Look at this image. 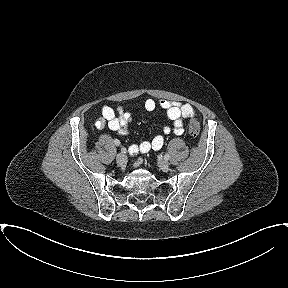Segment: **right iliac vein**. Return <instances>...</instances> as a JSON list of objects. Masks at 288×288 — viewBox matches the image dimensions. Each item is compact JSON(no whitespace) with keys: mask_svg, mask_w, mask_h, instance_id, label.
Here are the masks:
<instances>
[{"mask_svg":"<svg viewBox=\"0 0 288 288\" xmlns=\"http://www.w3.org/2000/svg\"><path fill=\"white\" fill-rule=\"evenodd\" d=\"M127 156L122 154V153H119L117 154L116 156V162L119 166H124L127 164Z\"/></svg>","mask_w":288,"mask_h":288,"instance_id":"right-iliac-vein-1","label":"right iliac vein"}]
</instances>
